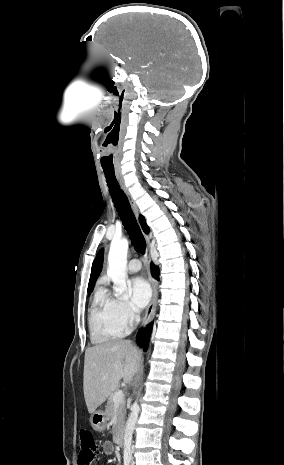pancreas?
Wrapping results in <instances>:
<instances>
[{
	"instance_id": "1",
	"label": "pancreas",
	"mask_w": 284,
	"mask_h": 465,
	"mask_svg": "<svg viewBox=\"0 0 284 465\" xmlns=\"http://www.w3.org/2000/svg\"><path fill=\"white\" fill-rule=\"evenodd\" d=\"M115 393H111L109 395V399L107 401L106 409H105V417L108 419V421H112L114 417V403H113V397ZM125 415H126V409H125V403H121L117 409V423L116 427H114L112 433H113V439H116L121 427H123L125 423Z\"/></svg>"
}]
</instances>
